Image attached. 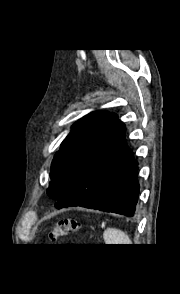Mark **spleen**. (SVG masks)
Instances as JSON below:
<instances>
[{"label": "spleen", "mask_w": 180, "mask_h": 294, "mask_svg": "<svg viewBox=\"0 0 180 294\" xmlns=\"http://www.w3.org/2000/svg\"><path fill=\"white\" fill-rule=\"evenodd\" d=\"M106 244H132L129 236L123 231L115 228H108L103 233Z\"/></svg>", "instance_id": "3e777b00"}]
</instances>
